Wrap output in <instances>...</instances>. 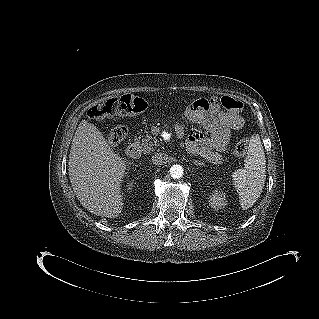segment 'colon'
Masks as SVG:
<instances>
[{"label": "colon", "instance_id": "obj_1", "mask_svg": "<svg viewBox=\"0 0 319 319\" xmlns=\"http://www.w3.org/2000/svg\"><path fill=\"white\" fill-rule=\"evenodd\" d=\"M219 103L223 108L233 111H239L243 107V103L233 97L224 96L217 100L211 98L210 104ZM146 102L139 97L130 94L122 95L120 97L110 98L102 103L93 105L88 110L90 119L101 121L112 117H120L124 115L136 114L144 111ZM127 134V128L119 125L113 127L107 137L110 146H116ZM248 140L243 139L239 141L233 149L235 156H243L248 148Z\"/></svg>", "mask_w": 319, "mask_h": 319}]
</instances>
